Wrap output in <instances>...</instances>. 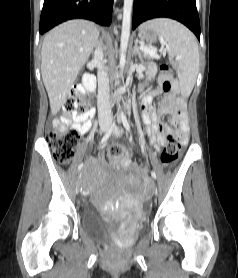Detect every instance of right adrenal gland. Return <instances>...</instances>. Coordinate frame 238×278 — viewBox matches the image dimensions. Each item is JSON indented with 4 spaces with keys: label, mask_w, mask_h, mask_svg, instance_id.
Listing matches in <instances>:
<instances>
[{
    "label": "right adrenal gland",
    "mask_w": 238,
    "mask_h": 278,
    "mask_svg": "<svg viewBox=\"0 0 238 278\" xmlns=\"http://www.w3.org/2000/svg\"><path fill=\"white\" fill-rule=\"evenodd\" d=\"M100 43H102V39H100Z\"/></svg>",
    "instance_id": "obj_1"
}]
</instances>
